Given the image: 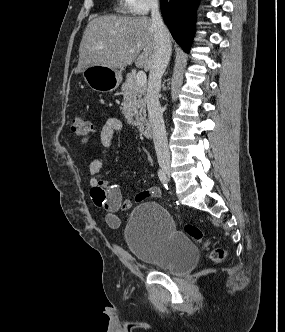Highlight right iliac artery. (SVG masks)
Here are the masks:
<instances>
[{"label":"right iliac artery","instance_id":"obj_1","mask_svg":"<svg viewBox=\"0 0 285 332\" xmlns=\"http://www.w3.org/2000/svg\"><path fill=\"white\" fill-rule=\"evenodd\" d=\"M158 177L160 179V181L162 182V184L167 188V176L165 174V172L161 169L158 170Z\"/></svg>","mask_w":285,"mask_h":332}]
</instances>
